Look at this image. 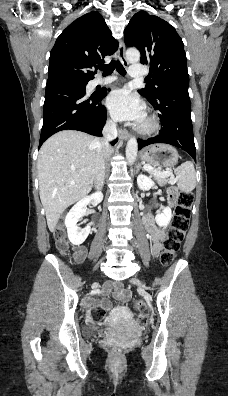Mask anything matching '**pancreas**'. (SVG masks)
Returning <instances> with one entry per match:
<instances>
[{
  "instance_id": "1",
  "label": "pancreas",
  "mask_w": 228,
  "mask_h": 396,
  "mask_svg": "<svg viewBox=\"0 0 228 396\" xmlns=\"http://www.w3.org/2000/svg\"><path fill=\"white\" fill-rule=\"evenodd\" d=\"M158 171H159L158 169L152 168V170H150L149 173L152 177H154V179L158 182L159 185H165L171 182V180H169L167 176H160L156 174V172Z\"/></svg>"
}]
</instances>
